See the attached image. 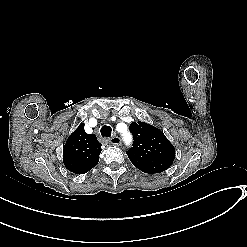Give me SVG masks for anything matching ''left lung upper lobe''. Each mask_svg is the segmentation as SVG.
Wrapping results in <instances>:
<instances>
[{
  "label": "left lung upper lobe",
  "instance_id": "obj_1",
  "mask_svg": "<svg viewBox=\"0 0 247 247\" xmlns=\"http://www.w3.org/2000/svg\"><path fill=\"white\" fill-rule=\"evenodd\" d=\"M133 147L126 152L132 164L142 172L154 174L168 169L175 158V149L162 131L139 121L129 127Z\"/></svg>",
  "mask_w": 247,
  "mask_h": 247
}]
</instances>
